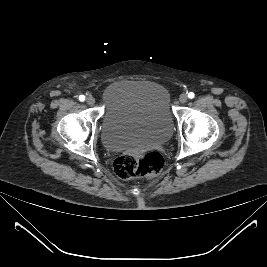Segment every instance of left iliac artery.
Returning <instances> with one entry per match:
<instances>
[{
	"label": "left iliac artery",
	"instance_id": "left-iliac-artery-1",
	"mask_svg": "<svg viewBox=\"0 0 267 267\" xmlns=\"http://www.w3.org/2000/svg\"><path fill=\"white\" fill-rule=\"evenodd\" d=\"M188 97H189L190 99L194 98V93H193V92H190V93L188 94Z\"/></svg>",
	"mask_w": 267,
	"mask_h": 267
}]
</instances>
